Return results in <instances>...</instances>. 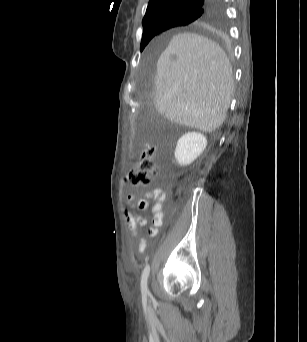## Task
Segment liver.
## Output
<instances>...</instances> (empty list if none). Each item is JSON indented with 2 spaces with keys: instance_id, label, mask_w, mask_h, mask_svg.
I'll list each match as a JSON object with an SVG mask.
<instances>
[{
  "instance_id": "obj_1",
  "label": "liver",
  "mask_w": 307,
  "mask_h": 342,
  "mask_svg": "<svg viewBox=\"0 0 307 342\" xmlns=\"http://www.w3.org/2000/svg\"><path fill=\"white\" fill-rule=\"evenodd\" d=\"M157 112L176 124L211 134L225 122L234 90L222 48L198 34H176L154 69Z\"/></svg>"
}]
</instances>
